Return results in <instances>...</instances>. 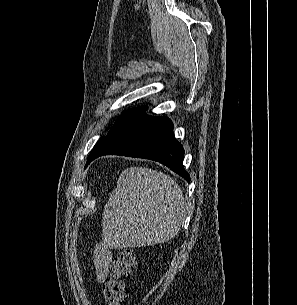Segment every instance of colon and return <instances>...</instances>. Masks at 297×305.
I'll use <instances>...</instances> for the list:
<instances>
[{"label":"colon","mask_w":297,"mask_h":305,"mask_svg":"<svg viewBox=\"0 0 297 305\" xmlns=\"http://www.w3.org/2000/svg\"><path fill=\"white\" fill-rule=\"evenodd\" d=\"M137 263L135 251L130 248L120 250L111 265L110 276L103 285L105 305H122L127 295L126 279L132 274Z\"/></svg>","instance_id":"5ec220e1"}]
</instances>
